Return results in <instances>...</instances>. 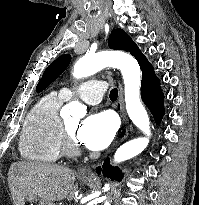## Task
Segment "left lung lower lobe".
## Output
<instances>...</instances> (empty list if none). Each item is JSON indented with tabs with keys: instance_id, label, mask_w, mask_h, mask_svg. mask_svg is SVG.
<instances>
[{
	"instance_id": "left-lung-lower-lobe-1",
	"label": "left lung lower lobe",
	"mask_w": 199,
	"mask_h": 205,
	"mask_svg": "<svg viewBox=\"0 0 199 205\" xmlns=\"http://www.w3.org/2000/svg\"><path fill=\"white\" fill-rule=\"evenodd\" d=\"M127 51L130 52L140 64L142 70L141 98L151 111L155 122L159 124L165 113L163 104L164 95L160 87V81L154 74L152 65L133 41L129 44ZM101 172L104 176L110 177L112 180H121L123 178V174L119 168L110 166L108 158L105 159L103 163V169L97 167L96 173L101 174Z\"/></svg>"
}]
</instances>
